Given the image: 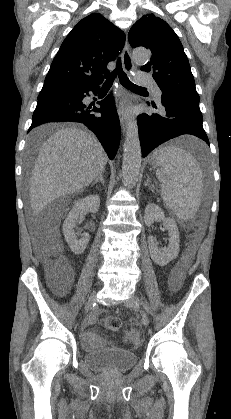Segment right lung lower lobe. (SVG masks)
I'll return each instance as SVG.
<instances>
[{"label": "right lung lower lobe", "mask_w": 231, "mask_h": 419, "mask_svg": "<svg viewBox=\"0 0 231 419\" xmlns=\"http://www.w3.org/2000/svg\"><path fill=\"white\" fill-rule=\"evenodd\" d=\"M98 89L99 85L83 86L72 95L38 100L28 132L34 127L48 122L73 121L84 123L95 133L109 158L113 159L118 150L121 134L119 117L113 99L107 96L98 102L100 108L82 102L85 94H88L89 91L96 93ZM94 112L101 113V116L95 115Z\"/></svg>", "instance_id": "obj_1"}]
</instances>
